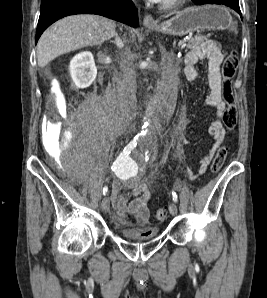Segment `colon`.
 I'll use <instances>...</instances> for the list:
<instances>
[{
	"mask_svg": "<svg viewBox=\"0 0 267 298\" xmlns=\"http://www.w3.org/2000/svg\"><path fill=\"white\" fill-rule=\"evenodd\" d=\"M238 66V55L236 52H231L225 58L223 65H222V93L223 99L226 103V111L224 113V124L228 129H231L235 126L237 120V113L235 108L234 102V95L232 91V79L236 73ZM57 122V116L54 113V110L51 106L48 117L47 123L48 124H55ZM227 156V148L222 145L218 148L213 162L211 164V172L217 173L222 168L225 159ZM166 210L160 208L156 211V218L160 221H163L166 218ZM127 219L133 220L131 214L126 215Z\"/></svg>",
	"mask_w": 267,
	"mask_h": 298,
	"instance_id": "obj_1",
	"label": "colon"
}]
</instances>
